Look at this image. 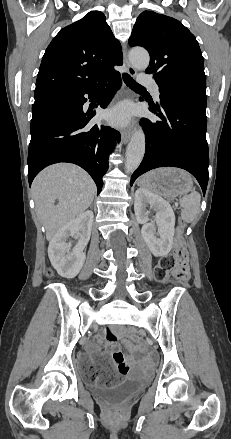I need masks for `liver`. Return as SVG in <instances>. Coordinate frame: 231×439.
<instances>
[{
  "label": "liver",
  "mask_w": 231,
  "mask_h": 439,
  "mask_svg": "<svg viewBox=\"0 0 231 439\" xmlns=\"http://www.w3.org/2000/svg\"><path fill=\"white\" fill-rule=\"evenodd\" d=\"M32 192L37 214L50 241L58 230L91 205L96 186L82 168L59 163L45 168L36 176Z\"/></svg>",
  "instance_id": "1"
}]
</instances>
